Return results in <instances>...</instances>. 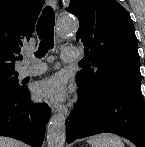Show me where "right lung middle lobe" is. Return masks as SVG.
Masks as SVG:
<instances>
[{"mask_svg": "<svg viewBox=\"0 0 145 147\" xmlns=\"http://www.w3.org/2000/svg\"><path fill=\"white\" fill-rule=\"evenodd\" d=\"M22 89L23 86L18 82V73L0 74V95H16Z\"/></svg>", "mask_w": 145, "mask_h": 147, "instance_id": "dd1d6c3e", "label": "right lung middle lobe"}]
</instances>
